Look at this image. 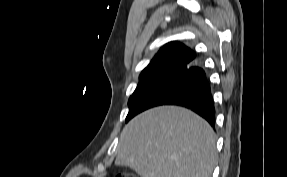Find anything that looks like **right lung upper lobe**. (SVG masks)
Segmentation results:
<instances>
[{
  "instance_id": "1",
  "label": "right lung upper lobe",
  "mask_w": 287,
  "mask_h": 177,
  "mask_svg": "<svg viewBox=\"0 0 287 177\" xmlns=\"http://www.w3.org/2000/svg\"><path fill=\"white\" fill-rule=\"evenodd\" d=\"M195 59V53L185 45L173 41L164 45L155 57L151 60L149 65L160 63L167 60H178L181 65L190 64Z\"/></svg>"
}]
</instances>
